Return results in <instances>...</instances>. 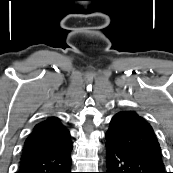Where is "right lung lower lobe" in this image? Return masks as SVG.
Listing matches in <instances>:
<instances>
[{
	"mask_svg": "<svg viewBox=\"0 0 173 173\" xmlns=\"http://www.w3.org/2000/svg\"><path fill=\"white\" fill-rule=\"evenodd\" d=\"M72 145L21 157L17 173H71Z\"/></svg>",
	"mask_w": 173,
	"mask_h": 173,
	"instance_id": "98d812e1",
	"label": "right lung lower lobe"
}]
</instances>
